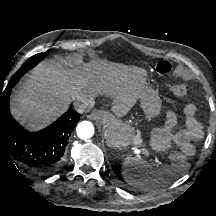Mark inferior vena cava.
I'll return each instance as SVG.
<instances>
[{"label": "inferior vena cava", "instance_id": "inferior-vena-cava-1", "mask_svg": "<svg viewBox=\"0 0 216 216\" xmlns=\"http://www.w3.org/2000/svg\"><path fill=\"white\" fill-rule=\"evenodd\" d=\"M73 105L74 109L78 113H85L89 112L91 108L94 106V100L84 95H78L75 98Z\"/></svg>", "mask_w": 216, "mask_h": 216}]
</instances>
